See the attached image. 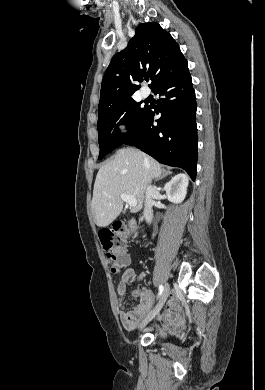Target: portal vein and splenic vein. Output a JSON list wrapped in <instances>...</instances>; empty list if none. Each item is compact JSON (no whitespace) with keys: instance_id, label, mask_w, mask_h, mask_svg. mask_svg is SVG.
<instances>
[{"instance_id":"18ae733b","label":"portal vein and splenic vein","mask_w":265,"mask_h":390,"mask_svg":"<svg viewBox=\"0 0 265 390\" xmlns=\"http://www.w3.org/2000/svg\"><path fill=\"white\" fill-rule=\"evenodd\" d=\"M121 199L125 201L130 207L137 205V201L134 196L123 193L121 194Z\"/></svg>"}]
</instances>
